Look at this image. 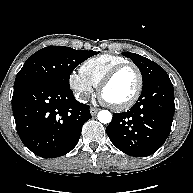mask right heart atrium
I'll use <instances>...</instances> for the list:
<instances>
[{
  "mask_svg": "<svg viewBox=\"0 0 193 193\" xmlns=\"http://www.w3.org/2000/svg\"><path fill=\"white\" fill-rule=\"evenodd\" d=\"M68 84L76 99L81 103H86L94 93V86L80 71L74 70L69 74Z\"/></svg>",
  "mask_w": 193,
  "mask_h": 193,
  "instance_id": "right-heart-atrium-1",
  "label": "right heart atrium"
}]
</instances>
